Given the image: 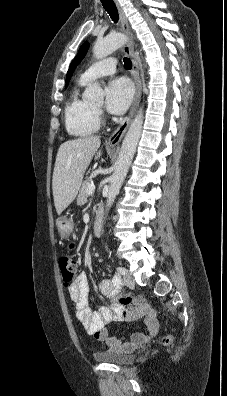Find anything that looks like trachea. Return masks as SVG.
Masks as SVG:
<instances>
[{
  "instance_id": "3493384b",
  "label": "trachea",
  "mask_w": 227,
  "mask_h": 396,
  "mask_svg": "<svg viewBox=\"0 0 227 396\" xmlns=\"http://www.w3.org/2000/svg\"><path fill=\"white\" fill-rule=\"evenodd\" d=\"M101 2L107 13L110 15L111 19L116 23L119 17H118L117 8L113 0H101ZM123 61L126 69L132 68V62L129 58L124 57Z\"/></svg>"
}]
</instances>
